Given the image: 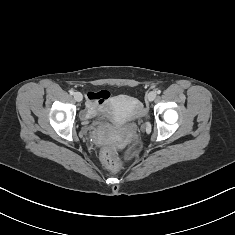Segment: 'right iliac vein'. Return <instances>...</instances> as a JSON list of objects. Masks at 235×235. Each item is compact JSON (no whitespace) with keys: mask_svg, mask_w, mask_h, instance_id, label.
I'll return each mask as SVG.
<instances>
[{"mask_svg":"<svg viewBox=\"0 0 235 235\" xmlns=\"http://www.w3.org/2000/svg\"><path fill=\"white\" fill-rule=\"evenodd\" d=\"M74 98H75L76 101L81 102L82 99H83V96L80 92H75L74 93Z\"/></svg>","mask_w":235,"mask_h":235,"instance_id":"1","label":"right iliac vein"}]
</instances>
